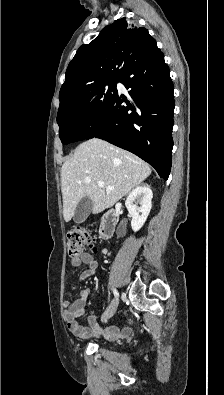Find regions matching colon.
Wrapping results in <instances>:
<instances>
[{
  "mask_svg": "<svg viewBox=\"0 0 224 395\" xmlns=\"http://www.w3.org/2000/svg\"><path fill=\"white\" fill-rule=\"evenodd\" d=\"M92 241V236L86 229L76 228L69 231L66 239L68 256L72 260L78 259L85 247L89 246Z\"/></svg>",
  "mask_w": 224,
  "mask_h": 395,
  "instance_id": "5ec220e1",
  "label": "colon"
}]
</instances>
